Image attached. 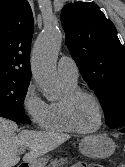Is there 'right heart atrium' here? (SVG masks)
Returning a JSON list of instances; mask_svg holds the SVG:
<instances>
[{"label":"right heart atrium","mask_w":125,"mask_h":167,"mask_svg":"<svg viewBox=\"0 0 125 167\" xmlns=\"http://www.w3.org/2000/svg\"><path fill=\"white\" fill-rule=\"evenodd\" d=\"M21 106L34 126L38 128L44 127L48 116L49 104L43 100L34 82H30L25 88Z\"/></svg>","instance_id":"d8ad5b80"}]
</instances>
